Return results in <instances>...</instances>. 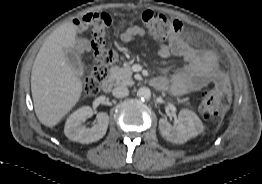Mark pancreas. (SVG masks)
<instances>
[{
  "label": "pancreas",
  "mask_w": 262,
  "mask_h": 184,
  "mask_svg": "<svg viewBox=\"0 0 262 184\" xmlns=\"http://www.w3.org/2000/svg\"><path fill=\"white\" fill-rule=\"evenodd\" d=\"M110 79L115 81L116 85H133L131 66L129 64H125L123 67L113 66L110 69Z\"/></svg>",
  "instance_id": "pancreas-1"
}]
</instances>
